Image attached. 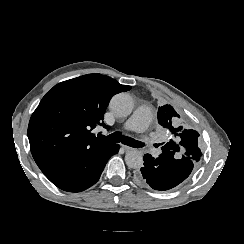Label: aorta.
<instances>
[{
  "label": "aorta",
  "mask_w": 244,
  "mask_h": 244,
  "mask_svg": "<svg viewBox=\"0 0 244 244\" xmlns=\"http://www.w3.org/2000/svg\"><path fill=\"white\" fill-rule=\"evenodd\" d=\"M133 108V99L126 93L115 95L110 102V109L117 117H126L130 115ZM125 163L129 168L139 169L143 166V156L135 149L130 150L125 155Z\"/></svg>",
  "instance_id": "762f6f07"
}]
</instances>
